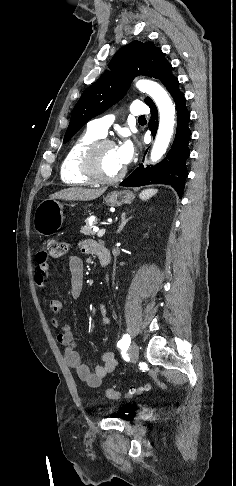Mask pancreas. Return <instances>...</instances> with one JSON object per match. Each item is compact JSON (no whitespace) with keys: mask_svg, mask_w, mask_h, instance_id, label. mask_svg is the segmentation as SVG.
<instances>
[{"mask_svg":"<svg viewBox=\"0 0 236 486\" xmlns=\"http://www.w3.org/2000/svg\"><path fill=\"white\" fill-rule=\"evenodd\" d=\"M97 222H98L97 219L94 220L93 223H92V225H96ZM85 223H86L85 226L81 228V231L80 232L82 234L86 235V236H93L94 237L95 232L93 231L92 225L89 224V220L87 219L85 221Z\"/></svg>","mask_w":236,"mask_h":486,"instance_id":"pancreas-1","label":"pancreas"}]
</instances>
